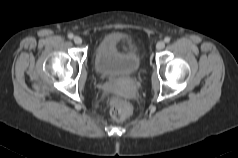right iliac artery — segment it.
I'll return each mask as SVG.
<instances>
[{
  "label": "right iliac artery",
  "mask_w": 238,
  "mask_h": 158,
  "mask_svg": "<svg viewBox=\"0 0 238 158\" xmlns=\"http://www.w3.org/2000/svg\"><path fill=\"white\" fill-rule=\"evenodd\" d=\"M73 36H74V35H73L72 33H69V34H68V38H69V39H72Z\"/></svg>",
  "instance_id": "1"
}]
</instances>
